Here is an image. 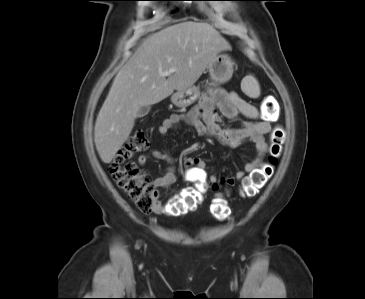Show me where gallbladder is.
Wrapping results in <instances>:
<instances>
[{
	"mask_svg": "<svg viewBox=\"0 0 365 299\" xmlns=\"http://www.w3.org/2000/svg\"><path fill=\"white\" fill-rule=\"evenodd\" d=\"M150 109L151 107L149 105L140 107V109L137 112V117L141 118L146 116L149 113Z\"/></svg>",
	"mask_w": 365,
	"mask_h": 299,
	"instance_id": "1",
	"label": "gallbladder"
}]
</instances>
